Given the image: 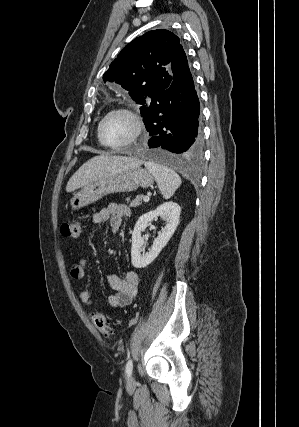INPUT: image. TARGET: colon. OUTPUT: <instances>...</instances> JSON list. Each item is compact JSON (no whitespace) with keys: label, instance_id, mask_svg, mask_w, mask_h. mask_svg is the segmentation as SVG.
Segmentation results:
<instances>
[{"label":"colon","instance_id":"1","mask_svg":"<svg viewBox=\"0 0 299 427\" xmlns=\"http://www.w3.org/2000/svg\"><path fill=\"white\" fill-rule=\"evenodd\" d=\"M61 233L65 237L77 238L81 235L82 225L78 220H74L68 223L62 224ZM92 321L96 329L106 338H110L113 335V330L106 316L100 312H95L91 315Z\"/></svg>","mask_w":299,"mask_h":427}]
</instances>
